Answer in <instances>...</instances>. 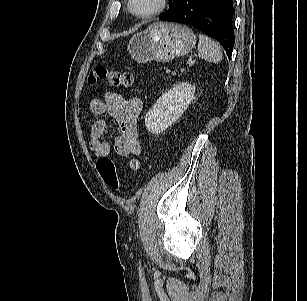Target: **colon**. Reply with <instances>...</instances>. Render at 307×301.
<instances>
[{
    "label": "colon",
    "mask_w": 307,
    "mask_h": 301,
    "mask_svg": "<svg viewBox=\"0 0 307 301\" xmlns=\"http://www.w3.org/2000/svg\"><path fill=\"white\" fill-rule=\"evenodd\" d=\"M88 81L89 83L101 81L114 87L129 88L134 83V76L130 72H119L97 65L91 70ZM96 167L105 184L112 190L119 191L121 184L114 161L109 157H100Z\"/></svg>",
    "instance_id": "1"
}]
</instances>
